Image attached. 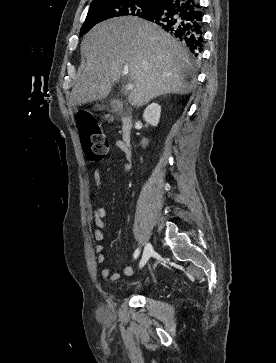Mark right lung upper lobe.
<instances>
[{"label":"right lung upper lobe","instance_id":"right-lung-upper-lobe-1","mask_svg":"<svg viewBox=\"0 0 276 363\" xmlns=\"http://www.w3.org/2000/svg\"><path fill=\"white\" fill-rule=\"evenodd\" d=\"M94 1H100V0H94ZM140 1H145V2H149L153 5H156V6H159L160 3L163 1V0H140Z\"/></svg>","mask_w":276,"mask_h":363}]
</instances>
